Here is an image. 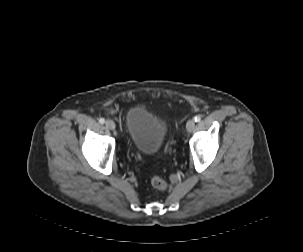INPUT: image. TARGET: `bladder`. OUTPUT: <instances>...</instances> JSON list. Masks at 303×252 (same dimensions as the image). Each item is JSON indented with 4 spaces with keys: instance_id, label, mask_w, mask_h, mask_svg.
Segmentation results:
<instances>
[{
    "instance_id": "obj_1",
    "label": "bladder",
    "mask_w": 303,
    "mask_h": 252,
    "mask_svg": "<svg viewBox=\"0 0 303 252\" xmlns=\"http://www.w3.org/2000/svg\"><path fill=\"white\" fill-rule=\"evenodd\" d=\"M126 131L132 146L142 155L151 157L161 148L168 129L149 111L132 108L126 116Z\"/></svg>"
}]
</instances>
